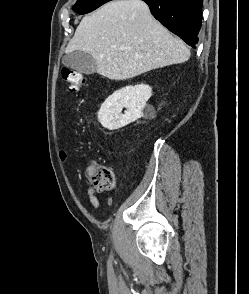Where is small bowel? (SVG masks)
<instances>
[{
    "label": "small bowel",
    "mask_w": 249,
    "mask_h": 294,
    "mask_svg": "<svg viewBox=\"0 0 249 294\" xmlns=\"http://www.w3.org/2000/svg\"><path fill=\"white\" fill-rule=\"evenodd\" d=\"M59 158L62 162H65L67 160V153L65 150L61 149L59 151ZM88 199L90 204L94 207V208H100L101 207V203L98 199V197L96 196V192L93 188H87L86 190Z\"/></svg>",
    "instance_id": "small-bowel-1"
}]
</instances>
